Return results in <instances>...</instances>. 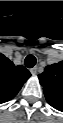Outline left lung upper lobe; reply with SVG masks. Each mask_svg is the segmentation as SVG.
I'll list each match as a JSON object with an SVG mask.
<instances>
[{"instance_id": "5c2ea615", "label": "left lung upper lobe", "mask_w": 63, "mask_h": 123, "mask_svg": "<svg viewBox=\"0 0 63 123\" xmlns=\"http://www.w3.org/2000/svg\"><path fill=\"white\" fill-rule=\"evenodd\" d=\"M43 86L48 103L62 110L63 108V67L61 63L46 66L44 72L38 75Z\"/></svg>"}]
</instances>
